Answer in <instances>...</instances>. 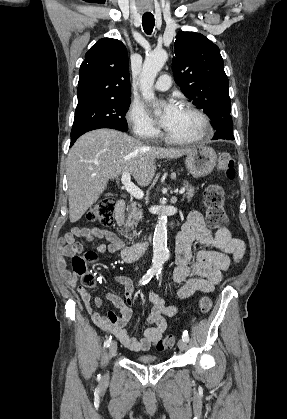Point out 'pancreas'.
<instances>
[{
  "mask_svg": "<svg viewBox=\"0 0 287 419\" xmlns=\"http://www.w3.org/2000/svg\"><path fill=\"white\" fill-rule=\"evenodd\" d=\"M184 188L186 192L184 197L190 199L195 194V189L189 185L187 182H184ZM141 205L132 203L127 208V215L121 220L120 224L126 227V231L134 230L137 227L138 222L143 219V210L140 209ZM136 233V231H133Z\"/></svg>",
  "mask_w": 287,
  "mask_h": 419,
  "instance_id": "pancreas-1",
  "label": "pancreas"
}]
</instances>
